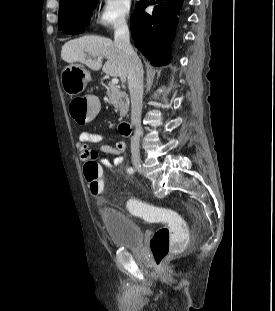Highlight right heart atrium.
<instances>
[{
  "label": "right heart atrium",
  "mask_w": 275,
  "mask_h": 311,
  "mask_svg": "<svg viewBox=\"0 0 275 311\" xmlns=\"http://www.w3.org/2000/svg\"><path fill=\"white\" fill-rule=\"evenodd\" d=\"M130 0H102L96 25L105 29H119L127 25Z\"/></svg>",
  "instance_id": "right-heart-atrium-1"
}]
</instances>
